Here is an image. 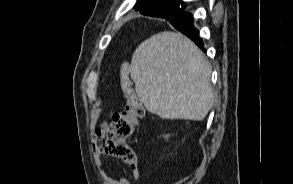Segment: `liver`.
<instances>
[{
  "label": "liver",
  "instance_id": "1",
  "mask_svg": "<svg viewBox=\"0 0 293 184\" xmlns=\"http://www.w3.org/2000/svg\"><path fill=\"white\" fill-rule=\"evenodd\" d=\"M130 75L145 108L163 119L201 121L213 106L210 64L180 33L164 31L142 42Z\"/></svg>",
  "mask_w": 293,
  "mask_h": 184
}]
</instances>
